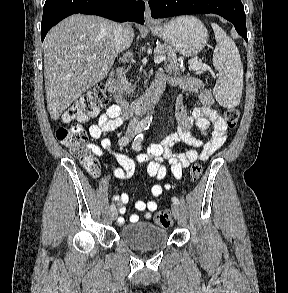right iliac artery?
Here are the masks:
<instances>
[{"instance_id": "obj_1", "label": "right iliac artery", "mask_w": 288, "mask_h": 293, "mask_svg": "<svg viewBox=\"0 0 288 293\" xmlns=\"http://www.w3.org/2000/svg\"><path fill=\"white\" fill-rule=\"evenodd\" d=\"M142 130H143V128H142L141 126H138V127L135 128V130H134V134L140 133ZM130 138H131L130 135H125V136H123V137L119 140V145H120V146H126V145L129 143ZM115 209H116L115 205L112 204V205L110 206V210L113 211V210H115Z\"/></svg>"}]
</instances>
